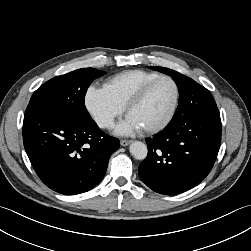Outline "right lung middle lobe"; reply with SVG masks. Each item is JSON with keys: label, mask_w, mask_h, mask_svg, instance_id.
I'll return each mask as SVG.
<instances>
[{"label": "right lung middle lobe", "mask_w": 251, "mask_h": 251, "mask_svg": "<svg viewBox=\"0 0 251 251\" xmlns=\"http://www.w3.org/2000/svg\"><path fill=\"white\" fill-rule=\"evenodd\" d=\"M104 74V71L84 68L56 76L34 92L28 107L43 108L76 122L91 121L84 103L85 94L92 81Z\"/></svg>", "instance_id": "dd1d6c3e"}]
</instances>
